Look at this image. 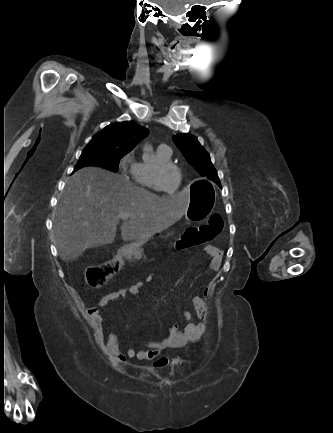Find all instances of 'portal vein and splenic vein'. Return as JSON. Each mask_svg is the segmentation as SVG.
<instances>
[{
    "label": "portal vein and splenic vein",
    "instance_id": "1",
    "mask_svg": "<svg viewBox=\"0 0 333 433\" xmlns=\"http://www.w3.org/2000/svg\"><path fill=\"white\" fill-rule=\"evenodd\" d=\"M131 215L128 213H119L118 219L121 221L127 220Z\"/></svg>",
    "mask_w": 333,
    "mask_h": 433
}]
</instances>
